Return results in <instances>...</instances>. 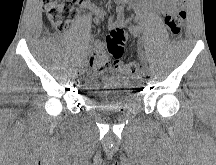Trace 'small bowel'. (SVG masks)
<instances>
[{"label": "small bowel", "instance_id": "1", "mask_svg": "<svg viewBox=\"0 0 216 165\" xmlns=\"http://www.w3.org/2000/svg\"><path fill=\"white\" fill-rule=\"evenodd\" d=\"M128 0H117V16L115 19L110 20L109 26L111 28L117 27V26H125L129 25V28L133 35H139L143 31V22L141 21H135L130 22L124 15V4ZM183 0H153L154 8L157 12L162 14H168L173 9L177 8L181 5ZM136 11H137V20L141 19L140 16H148V11L146 9V4L144 3V0H139L136 4ZM96 14V21L99 22L103 18L104 11L103 10H97L92 8L91 9ZM104 50L103 43L97 42L95 45L94 53H102Z\"/></svg>", "mask_w": 216, "mask_h": 165}]
</instances>
